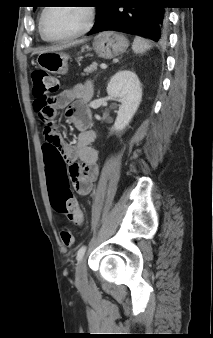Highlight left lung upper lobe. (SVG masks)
I'll list each match as a JSON object with an SVG mask.
<instances>
[{"mask_svg": "<svg viewBox=\"0 0 213 338\" xmlns=\"http://www.w3.org/2000/svg\"><path fill=\"white\" fill-rule=\"evenodd\" d=\"M102 0H96L95 1V4H97V6H96V8H97V12H98V10H99V8H100V2H101ZM36 8V6L34 7V9Z\"/></svg>", "mask_w": 213, "mask_h": 338, "instance_id": "1", "label": "left lung upper lobe"}]
</instances>
